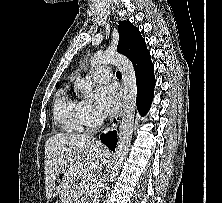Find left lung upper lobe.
Listing matches in <instances>:
<instances>
[{
    "instance_id": "obj_1",
    "label": "left lung upper lobe",
    "mask_w": 222,
    "mask_h": 203,
    "mask_svg": "<svg viewBox=\"0 0 222 203\" xmlns=\"http://www.w3.org/2000/svg\"><path fill=\"white\" fill-rule=\"evenodd\" d=\"M118 30L119 44L117 51L131 60L145 43V40L142 38L139 29L133 26L129 21L120 22Z\"/></svg>"
}]
</instances>
